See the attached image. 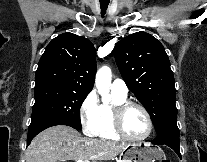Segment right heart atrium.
Listing matches in <instances>:
<instances>
[{
	"instance_id": "1",
	"label": "right heart atrium",
	"mask_w": 207,
	"mask_h": 162,
	"mask_svg": "<svg viewBox=\"0 0 207 162\" xmlns=\"http://www.w3.org/2000/svg\"><path fill=\"white\" fill-rule=\"evenodd\" d=\"M99 101L94 90L90 91L79 107V119L82 130L87 136H95L99 124Z\"/></svg>"
}]
</instances>
